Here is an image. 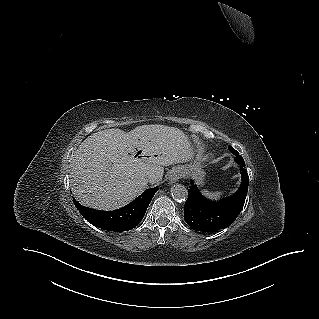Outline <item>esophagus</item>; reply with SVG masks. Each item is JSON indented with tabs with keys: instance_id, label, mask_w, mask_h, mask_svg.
Returning <instances> with one entry per match:
<instances>
[{
	"instance_id": "34e87169",
	"label": "esophagus",
	"mask_w": 319,
	"mask_h": 319,
	"mask_svg": "<svg viewBox=\"0 0 319 319\" xmlns=\"http://www.w3.org/2000/svg\"><path fill=\"white\" fill-rule=\"evenodd\" d=\"M180 179V175L178 173H172L169 176V182L170 184L176 183Z\"/></svg>"
}]
</instances>
